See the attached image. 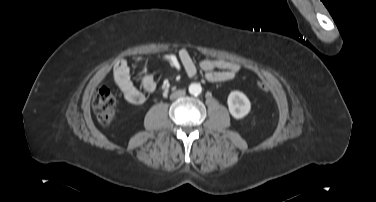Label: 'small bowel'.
I'll use <instances>...</instances> for the list:
<instances>
[{
  "mask_svg": "<svg viewBox=\"0 0 376 202\" xmlns=\"http://www.w3.org/2000/svg\"><path fill=\"white\" fill-rule=\"evenodd\" d=\"M173 61L179 62L188 76L197 74V66L187 48L178 51ZM200 69L204 72V77L209 82H225L236 77L241 69L239 63L222 58H205L199 63ZM113 78L115 84L121 90L124 99L131 105H141L145 101L142 90L137 88L131 79L130 67L126 60H118L113 66ZM140 83L144 91L152 92L156 88L153 77L148 73H143Z\"/></svg>",
  "mask_w": 376,
  "mask_h": 202,
  "instance_id": "1",
  "label": "small bowel"
}]
</instances>
